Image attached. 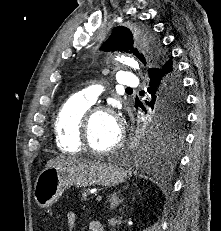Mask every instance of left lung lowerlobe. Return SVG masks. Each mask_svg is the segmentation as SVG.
Masks as SVG:
<instances>
[{
  "mask_svg": "<svg viewBox=\"0 0 221 231\" xmlns=\"http://www.w3.org/2000/svg\"><path fill=\"white\" fill-rule=\"evenodd\" d=\"M148 73L150 87L147 91L151 94V101L147 104L163 116L172 110L173 105L183 93L178 69L173 58L168 57L163 64L151 67ZM179 142L166 141L162 136L151 132L144 146L136 151L137 158L153 157L166 145L174 146Z\"/></svg>",
  "mask_w": 221,
  "mask_h": 231,
  "instance_id": "left-lung-lower-lobe-1",
  "label": "left lung lower lobe"
}]
</instances>
